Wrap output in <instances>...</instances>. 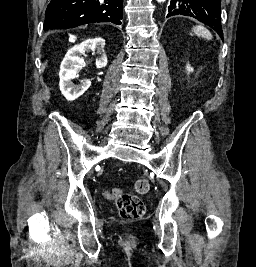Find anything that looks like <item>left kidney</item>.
Returning <instances> with one entry per match:
<instances>
[{"instance_id":"left-kidney-1","label":"left kidney","mask_w":256,"mask_h":267,"mask_svg":"<svg viewBox=\"0 0 256 267\" xmlns=\"http://www.w3.org/2000/svg\"><path fill=\"white\" fill-rule=\"evenodd\" d=\"M186 70L187 72H193V68H191L190 64H187Z\"/></svg>"}]
</instances>
